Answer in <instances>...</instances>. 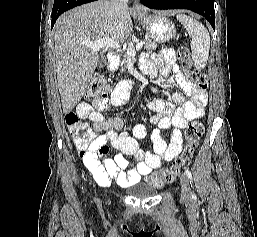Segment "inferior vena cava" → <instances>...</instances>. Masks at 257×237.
Returning a JSON list of instances; mask_svg holds the SVG:
<instances>
[{"mask_svg": "<svg viewBox=\"0 0 257 237\" xmlns=\"http://www.w3.org/2000/svg\"><path fill=\"white\" fill-rule=\"evenodd\" d=\"M118 7L120 8H127L128 0H112Z\"/></svg>", "mask_w": 257, "mask_h": 237, "instance_id": "602c4592", "label": "inferior vena cava"}]
</instances>
